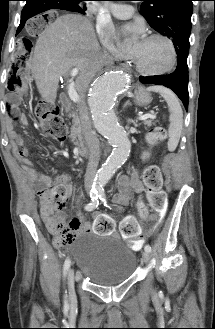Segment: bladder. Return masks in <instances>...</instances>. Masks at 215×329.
<instances>
[{"label":"bladder","instance_id":"1","mask_svg":"<svg viewBox=\"0 0 215 329\" xmlns=\"http://www.w3.org/2000/svg\"><path fill=\"white\" fill-rule=\"evenodd\" d=\"M81 278L96 285L128 280L137 266L135 253L126 243L108 234L85 233L72 245Z\"/></svg>","mask_w":215,"mask_h":329}]
</instances>
